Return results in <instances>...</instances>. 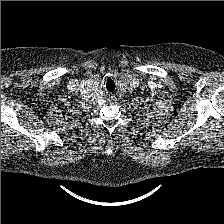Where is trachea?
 <instances>
[{
  "instance_id": "1",
  "label": "trachea",
  "mask_w": 224,
  "mask_h": 224,
  "mask_svg": "<svg viewBox=\"0 0 224 224\" xmlns=\"http://www.w3.org/2000/svg\"><path fill=\"white\" fill-rule=\"evenodd\" d=\"M108 83H106V89L108 92H113L115 90V83L113 80L111 81H107Z\"/></svg>"
}]
</instances>
